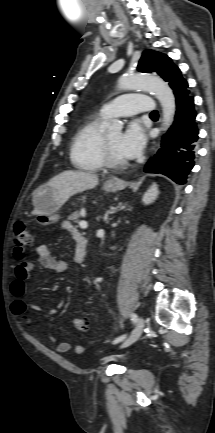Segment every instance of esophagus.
<instances>
[{"mask_svg": "<svg viewBox=\"0 0 215 433\" xmlns=\"http://www.w3.org/2000/svg\"><path fill=\"white\" fill-rule=\"evenodd\" d=\"M110 183L112 184H120V180L118 178H113L110 180Z\"/></svg>", "mask_w": 215, "mask_h": 433, "instance_id": "esophagus-1", "label": "esophagus"}]
</instances>
